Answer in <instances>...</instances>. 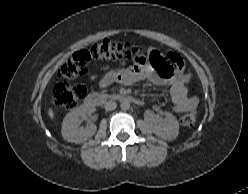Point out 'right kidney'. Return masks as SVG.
<instances>
[{"label": "right kidney", "instance_id": "ca27d5eb", "mask_svg": "<svg viewBox=\"0 0 248 194\" xmlns=\"http://www.w3.org/2000/svg\"><path fill=\"white\" fill-rule=\"evenodd\" d=\"M94 111V108L80 106L71 110L64 118L61 133L65 140L72 143H83L87 139L94 136L97 127L94 124L88 125L86 128L80 127V118L87 113Z\"/></svg>", "mask_w": 248, "mask_h": 194}]
</instances>
